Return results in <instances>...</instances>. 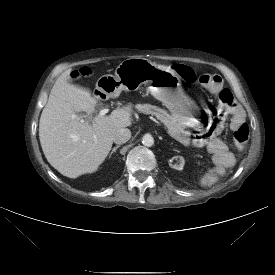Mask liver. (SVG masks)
I'll list each match as a JSON object with an SVG mask.
<instances>
[{
  "instance_id": "obj_1",
  "label": "liver",
  "mask_w": 275,
  "mask_h": 275,
  "mask_svg": "<svg viewBox=\"0 0 275 275\" xmlns=\"http://www.w3.org/2000/svg\"><path fill=\"white\" fill-rule=\"evenodd\" d=\"M71 72H63L50 91L39 121V139L51 166L77 178L95 172L108 156L116 130L132 125V104L92 120L98 98L72 84ZM82 112L86 113L83 121L74 117Z\"/></svg>"
}]
</instances>
